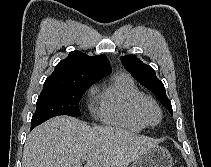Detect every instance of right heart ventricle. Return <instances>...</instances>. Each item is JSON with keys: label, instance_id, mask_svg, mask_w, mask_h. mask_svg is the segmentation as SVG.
I'll return each instance as SVG.
<instances>
[{"label": "right heart ventricle", "instance_id": "e07e8e85", "mask_svg": "<svg viewBox=\"0 0 211 167\" xmlns=\"http://www.w3.org/2000/svg\"><path fill=\"white\" fill-rule=\"evenodd\" d=\"M143 95L130 75L118 73L98 90L94 114L106 124L141 131L145 124L136 113V103Z\"/></svg>", "mask_w": 211, "mask_h": 167}]
</instances>
